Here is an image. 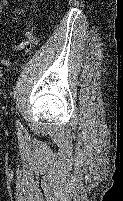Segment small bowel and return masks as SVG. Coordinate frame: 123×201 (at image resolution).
I'll use <instances>...</instances> for the list:
<instances>
[{"instance_id": "c3829d8e", "label": "small bowel", "mask_w": 123, "mask_h": 201, "mask_svg": "<svg viewBox=\"0 0 123 201\" xmlns=\"http://www.w3.org/2000/svg\"><path fill=\"white\" fill-rule=\"evenodd\" d=\"M2 10H3V6L2 4H0V13L2 12ZM35 42L36 40L33 34L30 31H28L26 32L23 41L20 44L15 45L13 48L14 50H24V52L27 53L31 49V47L35 44ZM17 63L18 61H10L8 59L3 58L0 55V66L8 67V66L15 65Z\"/></svg>"}]
</instances>
